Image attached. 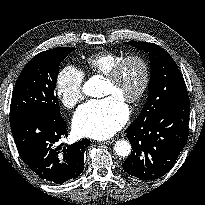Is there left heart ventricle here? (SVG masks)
<instances>
[{
	"instance_id": "left-heart-ventricle-1",
	"label": "left heart ventricle",
	"mask_w": 205,
	"mask_h": 205,
	"mask_svg": "<svg viewBox=\"0 0 205 205\" xmlns=\"http://www.w3.org/2000/svg\"><path fill=\"white\" fill-rule=\"evenodd\" d=\"M143 78L142 66L137 61L128 62L121 74L119 81L115 84L105 81L103 96H116L122 101L132 97L140 88Z\"/></svg>"
}]
</instances>
